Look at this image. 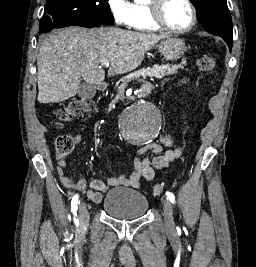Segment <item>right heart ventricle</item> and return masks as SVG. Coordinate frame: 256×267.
Returning <instances> with one entry per match:
<instances>
[{
  "label": "right heart ventricle",
  "mask_w": 256,
  "mask_h": 267,
  "mask_svg": "<svg viewBox=\"0 0 256 267\" xmlns=\"http://www.w3.org/2000/svg\"><path fill=\"white\" fill-rule=\"evenodd\" d=\"M135 6L138 8L143 20H147L151 11V0H136ZM143 36H153L151 34H143Z\"/></svg>",
  "instance_id": "e07e8e85"
}]
</instances>
